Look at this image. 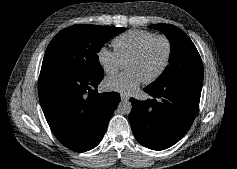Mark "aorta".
<instances>
[{"label":"aorta","instance_id":"1","mask_svg":"<svg viewBox=\"0 0 237 169\" xmlns=\"http://www.w3.org/2000/svg\"><path fill=\"white\" fill-rule=\"evenodd\" d=\"M131 110H132V104L128 100L121 101L117 107L118 113L122 115L130 114Z\"/></svg>","mask_w":237,"mask_h":169}]
</instances>
